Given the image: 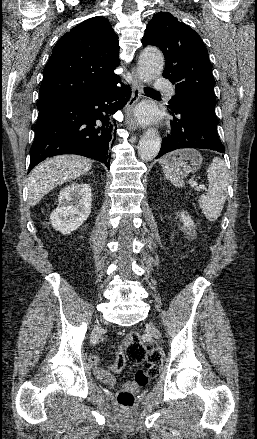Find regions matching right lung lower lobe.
I'll return each instance as SVG.
<instances>
[{
  "mask_svg": "<svg viewBox=\"0 0 257 439\" xmlns=\"http://www.w3.org/2000/svg\"><path fill=\"white\" fill-rule=\"evenodd\" d=\"M113 80L105 87L39 108L29 171L48 157L77 154L110 168L109 148L116 139L110 116L131 96L129 86L118 89Z\"/></svg>",
  "mask_w": 257,
  "mask_h": 439,
  "instance_id": "1",
  "label": "right lung lower lobe"
}]
</instances>
